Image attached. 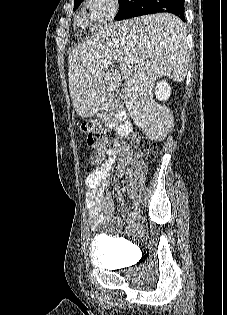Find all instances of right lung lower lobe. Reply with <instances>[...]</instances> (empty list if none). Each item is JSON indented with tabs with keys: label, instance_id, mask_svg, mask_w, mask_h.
I'll use <instances>...</instances> for the list:
<instances>
[{
	"label": "right lung lower lobe",
	"instance_id": "right-lung-lower-lobe-1",
	"mask_svg": "<svg viewBox=\"0 0 227 315\" xmlns=\"http://www.w3.org/2000/svg\"><path fill=\"white\" fill-rule=\"evenodd\" d=\"M172 13L185 22L184 0H138L119 7L115 17L123 20L154 13Z\"/></svg>",
	"mask_w": 227,
	"mask_h": 315
}]
</instances>
